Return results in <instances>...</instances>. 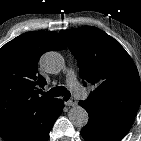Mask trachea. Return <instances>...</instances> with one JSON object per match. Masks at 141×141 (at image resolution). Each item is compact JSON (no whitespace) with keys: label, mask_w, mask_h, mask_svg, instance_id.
Listing matches in <instances>:
<instances>
[{"label":"trachea","mask_w":141,"mask_h":141,"mask_svg":"<svg viewBox=\"0 0 141 141\" xmlns=\"http://www.w3.org/2000/svg\"><path fill=\"white\" fill-rule=\"evenodd\" d=\"M47 97H58V96H63V100L68 101L71 94L70 92L63 86H56L49 90L46 93H43Z\"/></svg>","instance_id":"1"}]
</instances>
